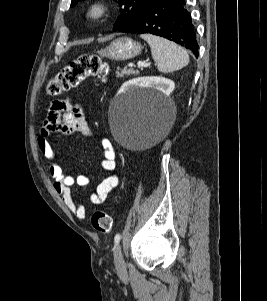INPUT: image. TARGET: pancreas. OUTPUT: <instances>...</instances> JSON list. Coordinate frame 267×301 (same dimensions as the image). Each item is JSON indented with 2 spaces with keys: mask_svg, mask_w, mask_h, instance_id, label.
<instances>
[{
  "mask_svg": "<svg viewBox=\"0 0 267 301\" xmlns=\"http://www.w3.org/2000/svg\"><path fill=\"white\" fill-rule=\"evenodd\" d=\"M117 74V78H123L125 75L130 76V75H137L138 71H134V70H127V69H122L121 72L116 71Z\"/></svg>",
  "mask_w": 267,
  "mask_h": 301,
  "instance_id": "obj_1",
  "label": "pancreas"
}]
</instances>
